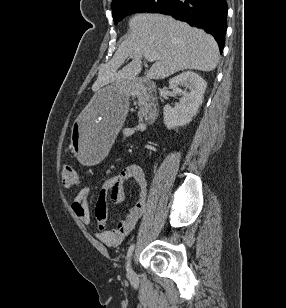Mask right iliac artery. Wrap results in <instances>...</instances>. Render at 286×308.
<instances>
[{
    "instance_id": "obj_1",
    "label": "right iliac artery",
    "mask_w": 286,
    "mask_h": 308,
    "mask_svg": "<svg viewBox=\"0 0 286 308\" xmlns=\"http://www.w3.org/2000/svg\"><path fill=\"white\" fill-rule=\"evenodd\" d=\"M134 247H135V245L132 244V245L129 247L128 252H127V257H126V259H127V264H126V269H127V271H128V269H129L128 261H129L131 255H132V253H133Z\"/></svg>"
}]
</instances>
